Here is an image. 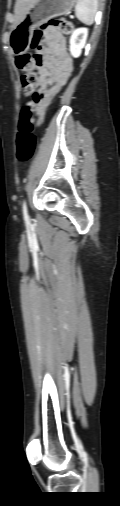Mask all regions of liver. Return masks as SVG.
I'll return each instance as SVG.
<instances>
[{"label":"liver","mask_w":120,"mask_h":506,"mask_svg":"<svg viewBox=\"0 0 120 506\" xmlns=\"http://www.w3.org/2000/svg\"><path fill=\"white\" fill-rule=\"evenodd\" d=\"M37 2L38 0H16L14 8L15 16L13 20V27L23 20V18L28 13L30 8Z\"/></svg>","instance_id":"obj_1"}]
</instances>
